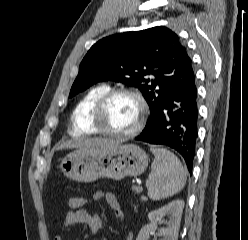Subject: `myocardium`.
<instances>
[{"mask_svg": "<svg viewBox=\"0 0 248 240\" xmlns=\"http://www.w3.org/2000/svg\"><path fill=\"white\" fill-rule=\"evenodd\" d=\"M118 95L132 96L138 102L140 109L139 117L136 125L130 131L127 132H116L106 129L102 126L103 114L107 105L115 96ZM147 114H148L147 103L143 95L138 90L127 87L112 88L106 91L96 102L91 115V123L95 131L104 136L113 137V138H131L140 133L147 118Z\"/></svg>", "mask_w": 248, "mask_h": 240, "instance_id": "1", "label": "myocardium"}]
</instances>
